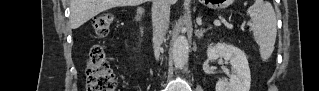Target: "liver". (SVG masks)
Returning a JSON list of instances; mask_svg holds the SVG:
<instances>
[{
  "instance_id": "1",
  "label": "liver",
  "mask_w": 319,
  "mask_h": 91,
  "mask_svg": "<svg viewBox=\"0 0 319 91\" xmlns=\"http://www.w3.org/2000/svg\"><path fill=\"white\" fill-rule=\"evenodd\" d=\"M145 1L146 0H71V26L73 29L79 28L103 11L119 6H136ZM169 3L175 4L176 0H169Z\"/></svg>"
}]
</instances>
